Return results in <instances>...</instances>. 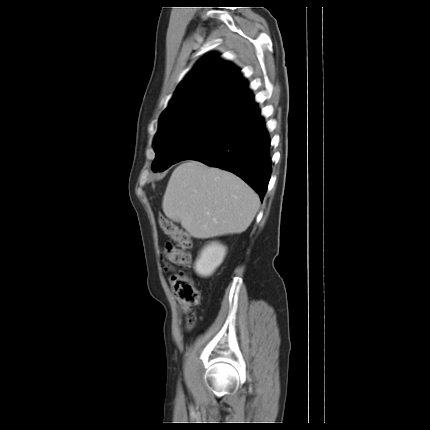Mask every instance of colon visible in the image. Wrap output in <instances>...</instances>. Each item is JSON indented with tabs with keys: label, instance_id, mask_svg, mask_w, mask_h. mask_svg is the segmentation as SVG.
I'll use <instances>...</instances> for the list:
<instances>
[{
	"label": "colon",
	"instance_id": "obj_1",
	"mask_svg": "<svg viewBox=\"0 0 430 430\" xmlns=\"http://www.w3.org/2000/svg\"><path fill=\"white\" fill-rule=\"evenodd\" d=\"M159 225L162 231L172 239V241L165 246V259L182 267L189 266L191 262L189 250L192 247L190 235L179 229L166 217L159 218ZM170 282L175 298L182 311L186 314V324L188 327H191L195 320L192 308L199 304V290L185 271L172 274Z\"/></svg>",
	"mask_w": 430,
	"mask_h": 430
}]
</instances>
